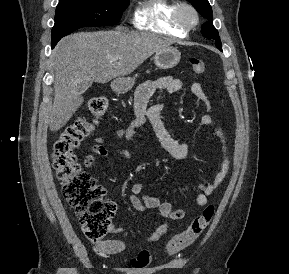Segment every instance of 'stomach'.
I'll return each mask as SVG.
<instances>
[{"instance_id": "stomach-1", "label": "stomach", "mask_w": 289, "mask_h": 274, "mask_svg": "<svg viewBox=\"0 0 289 274\" xmlns=\"http://www.w3.org/2000/svg\"><path fill=\"white\" fill-rule=\"evenodd\" d=\"M181 58V53L173 47H168L155 53L154 62L160 69H170L176 66ZM135 80L131 77H119L111 83L112 89L119 94L128 92L134 85Z\"/></svg>"}]
</instances>
